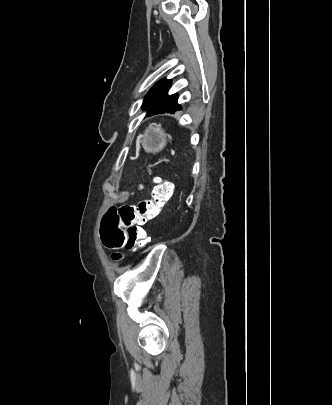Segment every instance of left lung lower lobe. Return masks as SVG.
Wrapping results in <instances>:
<instances>
[{
	"label": "left lung lower lobe",
	"instance_id": "left-lung-lower-lobe-1",
	"mask_svg": "<svg viewBox=\"0 0 332 405\" xmlns=\"http://www.w3.org/2000/svg\"><path fill=\"white\" fill-rule=\"evenodd\" d=\"M159 113H174V111H169V110H163V109L156 108L154 104H151V105H149L147 107V115L149 117L153 116V115H156V114H159Z\"/></svg>",
	"mask_w": 332,
	"mask_h": 405
}]
</instances>
